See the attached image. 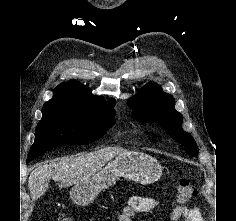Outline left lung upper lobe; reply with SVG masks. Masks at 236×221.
Instances as JSON below:
<instances>
[{"label": "left lung upper lobe", "mask_w": 236, "mask_h": 221, "mask_svg": "<svg viewBox=\"0 0 236 221\" xmlns=\"http://www.w3.org/2000/svg\"><path fill=\"white\" fill-rule=\"evenodd\" d=\"M134 117L142 124L156 122L166 133L180 144L186 152L197 157V144L194 138L182 129V116L175 108V100L159 86L146 84L140 92L129 100Z\"/></svg>", "instance_id": "obj_1"}]
</instances>
